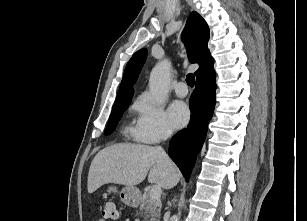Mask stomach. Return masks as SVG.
I'll return each instance as SVG.
<instances>
[{"label": "stomach", "instance_id": "1", "mask_svg": "<svg viewBox=\"0 0 307 221\" xmlns=\"http://www.w3.org/2000/svg\"><path fill=\"white\" fill-rule=\"evenodd\" d=\"M107 191L109 193H116L118 192L117 187L109 186ZM120 199L123 203L128 206L135 207L139 204L140 201V191L136 187L125 186L119 192Z\"/></svg>", "mask_w": 307, "mask_h": 221}]
</instances>
